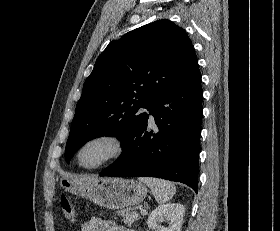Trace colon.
Here are the masks:
<instances>
[{
    "mask_svg": "<svg viewBox=\"0 0 280 231\" xmlns=\"http://www.w3.org/2000/svg\"><path fill=\"white\" fill-rule=\"evenodd\" d=\"M59 209L61 213H65L68 215H62V220H74L75 208H73L72 201L68 195L62 194L59 199Z\"/></svg>",
    "mask_w": 280,
    "mask_h": 231,
    "instance_id": "1",
    "label": "colon"
}]
</instances>
